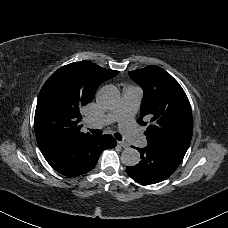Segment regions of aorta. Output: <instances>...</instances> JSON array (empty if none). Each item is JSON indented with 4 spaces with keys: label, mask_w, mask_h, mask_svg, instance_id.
<instances>
[{
    "label": "aorta",
    "mask_w": 228,
    "mask_h": 228,
    "mask_svg": "<svg viewBox=\"0 0 228 228\" xmlns=\"http://www.w3.org/2000/svg\"><path fill=\"white\" fill-rule=\"evenodd\" d=\"M120 100V93L113 85L103 86L97 93V103L106 110L114 109ZM121 161L126 166H135L140 161V153L134 148H125Z\"/></svg>",
    "instance_id": "aorta-1"
}]
</instances>
